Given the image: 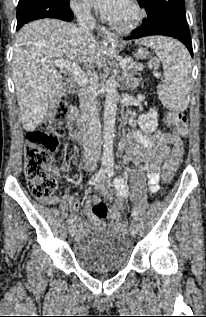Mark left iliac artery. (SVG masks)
<instances>
[{
	"instance_id": "44dca946",
	"label": "left iliac artery",
	"mask_w": 206,
	"mask_h": 317,
	"mask_svg": "<svg viewBox=\"0 0 206 317\" xmlns=\"http://www.w3.org/2000/svg\"><path fill=\"white\" fill-rule=\"evenodd\" d=\"M107 174L109 177H112L115 174L114 168L112 166L107 168ZM132 217L134 220L138 219V213L135 209L132 210Z\"/></svg>"
}]
</instances>
